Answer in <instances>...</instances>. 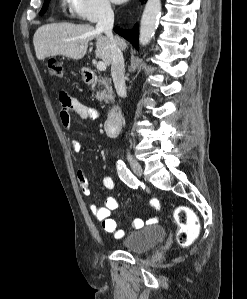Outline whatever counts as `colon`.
Returning a JSON list of instances; mask_svg holds the SVG:
<instances>
[{
	"instance_id": "1",
	"label": "colon",
	"mask_w": 247,
	"mask_h": 299,
	"mask_svg": "<svg viewBox=\"0 0 247 299\" xmlns=\"http://www.w3.org/2000/svg\"><path fill=\"white\" fill-rule=\"evenodd\" d=\"M47 65L50 75L57 78L63 77V67L57 59L50 58ZM174 220L179 227L176 234L178 243L181 245L190 244L197 236L199 231L197 217L189 208L180 206L174 211Z\"/></svg>"
}]
</instances>
